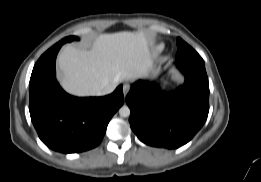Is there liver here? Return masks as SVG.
<instances>
[{"label": "liver", "instance_id": "6515ba94", "mask_svg": "<svg viewBox=\"0 0 261 182\" xmlns=\"http://www.w3.org/2000/svg\"><path fill=\"white\" fill-rule=\"evenodd\" d=\"M63 88L77 96H97L107 86L151 76L152 59L143 32L100 34L90 50L67 45L58 55Z\"/></svg>", "mask_w": 261, "mask_h": 182}]
</instances>
